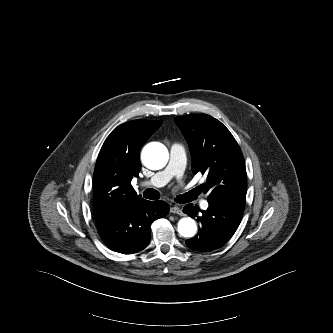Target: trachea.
<instances>
[{"label":"trachea","instance_id":"1","mask_svg":"<svg viewBox=\"0 0 333 333\" xmlns=\"http://www.w3.org/2000/svg\"><path fill=\"white\" fill-rule=\"evenodd\" d=\"M144 196L146 198L151 197L150 199H153L152 197H156L154 199H157V197H159V193L156 190L149 188V189L145 190ZM187 201H188V199L185 198V195L179 196L177 198V202H179V203H186Z\"/></svg>","mask_w":333,"mask_h":333}]
</instances>
